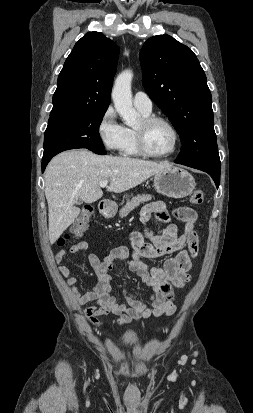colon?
Here are the masks:
<instances>
[{
	"label": "colon",
	"instance_id": "colon-1",
	"mask_svg": "<svg viewBox=\"0 0 253 413\" xmlns=\"http://www.w3.org/2000/svg\"><path fill=\"white\" fill-rule=\"evenodd\" d=\"M203 200L204 192L201 189H195L190 195V202L194 205L202 204ZM92 212V207L90 205H85L81 215L78 217L71 230V235H66L64 238L59 239L58 244L62 246L70 239H77L81 237L88 228Z\"/></svg>",
	"mask_w": 253,
	"mask_h": 413
}]
</instances>
